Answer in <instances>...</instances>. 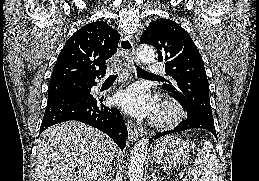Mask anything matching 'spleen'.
<instances>
[{
  "mask_svg": "<svg viewBox=\"0 0 259 181\" xmlns=\"http://www.w3.org/2000/svg\"><path fill=\"white\" fill-rule=\"evenodd\" d=\"M194 168H189L187 174L191 181H217L219 175L218 160L210 141H205L195 159Z\"/></svg>",
  "mask_w": 259,
  "mask_h": 181,
  "instance_id": "1",
  "label": "spleen"
}]
</instances>
